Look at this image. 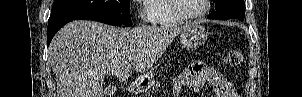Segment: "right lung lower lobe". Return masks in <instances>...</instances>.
<instances>
[{
    "label": "right lung lower lobe",
    "mask_w": 302,
    "mask_h": 97,
    "mask_svg": "<svg viewBox=\"0 0 302 97\" xmlns=\"http://www.w3.org/2000/svg\"><path fill=\"white\" fill-rule=\"evenodd\" d=\"M93 20L102 22L105 24L113 25V26H121L122 23L118 22L117 20L110 18L108 16H105L103 14L99 13H93V12H82V13H76V14H70L66 16H61L52 20L48 21V45L50 44L53 36L56 34V32L65 24H67L70 21L73 20Z\"/></svg>",
    "instance_id": "right-lung-lower-lobe-1"
}]
</instances>
